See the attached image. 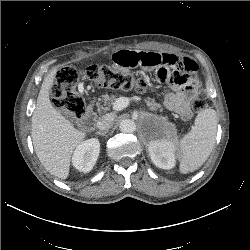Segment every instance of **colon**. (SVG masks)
<instances>
[{
	"mask_svg": "<svg viewBox=\"0 0 250 250\" xmlns=\"http://www.w3.org/2000/svg\"><path fill=\"white\" fill-rule=\"evenodd\" d=\"M79 78L92 81L96 86L112 89L144 92L148 84L143 79H136L130 74L119 72L108 66L92 65L84 70H75L65 67L56 74L55 82L51 88V96L55 106L71 117H81L85 113V103L76 92L75 86ZM211 100L205 90L197 92L192 107L196 112L209 107Z\"/></svg>",
	"mask_w": 250,
	"mask_h": 250,
	"instance_id": "1",
	"label": "colon"
}]
</instances>
